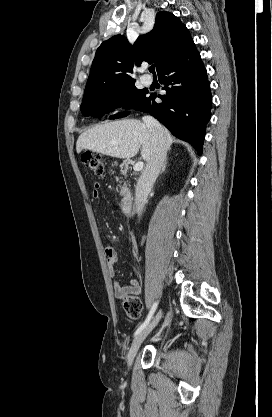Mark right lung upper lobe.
I'll return each mask as SVG.
<instances>
[{
    "mask_svg": "<svg viewBox=\"0 0 272 417\" xmlns=\"http://www.w3.org/2000/svg\"><path fill=\"white\" fill-rule=\"evenodd\" d=\"M192 41L188 29L177 17L169 12H159L154 28L149 33L139 36L133 46L122 35L113 36L99 46L91 66L85 94L134 85V61L137 66L143 61L155 62L159 72Z\"/></svg>",
    "mask_w": 272,
    "mask_h": 417,
    "instance_id": "1",
    "label": "right lung upper lobe"
}]
</instances>
